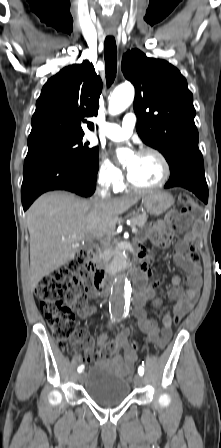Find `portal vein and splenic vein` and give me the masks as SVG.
Instances as JSON below:
<instances>
[{
    "instance_id": "1",
    "label": "portal vein and splenic vein",
    "mask_w": 221,
    "mask_h": 448,
    "mask_svg": "<svg viewBox=\"0 0 221 448\" xmlns=\"http://www.w3.org/2000/svg\"><path fill=\"white\" fill-rule=\"evenodd\" d=\"M131 230H132V233H136L137 232V228L135 226H131Z\"/></svg>"
}]
</instances>
